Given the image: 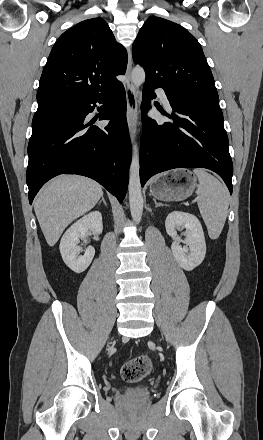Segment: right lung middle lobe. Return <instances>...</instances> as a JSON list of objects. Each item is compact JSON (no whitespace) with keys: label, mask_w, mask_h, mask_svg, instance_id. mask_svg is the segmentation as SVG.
Wrapping results in <instances>:
<instances>
[{"label":"right lung middle lobe","mask_w":263,"mask_h":440,"mask_svg":"<svg viewBox=\"0 0 263 440\" xmlns=\"http://www.w3.org/2000/svg\"><path fill=\"white\" fill-rule=\"evenodd\" d=\"M68 103H58L38 107L32 121V132L42 128L54 119L65 115Z\"/></svg>","instance_id":"dd1d6c3e"}]
</instances>
